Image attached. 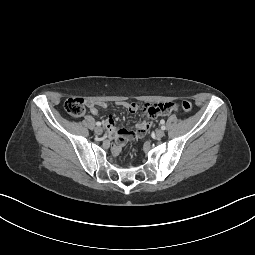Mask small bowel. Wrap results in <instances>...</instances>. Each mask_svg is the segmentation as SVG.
<instances>
[{"mask_svg": "<svg viewBox=\"0 0 255 255\" xmlns=\"http://www.w3.org/2000/svg\"><path fill=\"white\" fill-rule=\"evenodd\" d=\"M97 105L100 107H106L105 102L95 103L90 101L88 106L92 115L98 114ZM119 105L125 107L132 113L135 112L139 106L138 103L131 104L128 102H120ZM179 109V103L173 99H166L163 103H146L144 105L145 116L149 120L155 119L159 115H166L169 113L175 114L179 111ZM106 127L109 137L116 141L113 147V151L117 153L120 151L125 142L130 138L142 137L150 128V123L142 122L137 126L135 131H131L125 128H118L116 126L115 117L113 115H109L106 120Z\"/></svg>", "mask_w": 255, "mask_h": 255, "instance_id": "c3829d8e", "label": "small bowel"}]
</instances>
